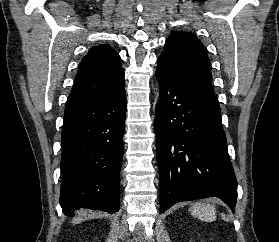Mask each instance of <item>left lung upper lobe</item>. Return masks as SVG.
Wrapping results in <instances>:
<instances>
[{
	"instance_id": "1",
	"label": "left lung upper lobe",
	"mask_w": 279,
	"mask_h": 242,
	"mask_svg": "<svg viewBox=\"0 0 279 242\" xmlns=\"http://www.w3.org/2000/svg\"><path fill=\"white\" fill-rule=\"evenodd\" d=\"M159 58L166 59L175 71L197 84L218 103L212 87L210 60L198 38L188 32L171 33Z\"/></svg>"
}]
</instances>
